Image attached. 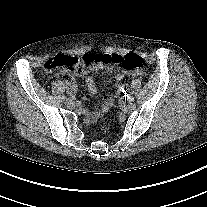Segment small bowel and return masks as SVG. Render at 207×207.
<instances>
[{
    "label": "small bowel",
    "mask_w": 207,
    "mask_h": 207,
    "mask_svg": "<svg viewBox=\"0 0 207 207\" xmlns=\"http://www.w3.org/2000/svg\"><path fill=\"white\" fill-rule=\"evenodd\" d=\"M102 67H103L102 64H97V65L92 66L91 68L82 67L79 70V75L82 76V77H85V83H86L87 89L91 94H96L97 93V85H96V79L93 76H90L89 72H90V70H93V69L97 70V69H100ZM107 69L109 71H112L113 66H108ZM129 75L139 77V76L142 75V72L141 71H135L133 73H129L127 71L119 70L116 73L115 78L118 82H121V81H123V79L126 76H129ZM70 90L73 91L74 87L70 86ZM124 91H126V86L121 84L118 87V90L114 94L105 96L102 99L100 107L95 108V109L90 110V111H87L85 113V117H84L85 122L87 124L93 123L98 118H100L101 116L107 114L110 111V109L113 105L114 97L118 96L121 92H124Z\"/></svg>",
    "instance_id": "c3829d8e"
}]
</instances>
